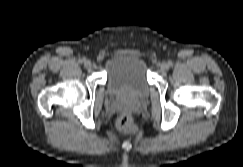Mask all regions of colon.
I'll use <instances>...</instances> for the list:
<instances>
[{
  "instance_id": "obj_1",
  "label": "colon",
  "mask_w": 243,
  "mask_h": 167,
  "mask_svg": "<svg viewBox=\"0 0 243 167\" xmlns=\"http://www.w3.org/2000/svg\"><path fill=\"white\" fill-rule=\"evenodd\" d=\"M117 128L123 132H132L135 130V124L133 122L132 114L129 110H124L118 120Z\"/></svg>"
}]
</instances>
